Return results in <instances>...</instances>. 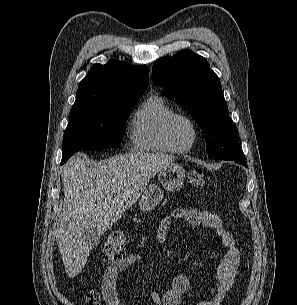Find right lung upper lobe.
I'll use <instances>...</instances> for the list:
<instances>
[{
  "mask_svg": "<svg viewBox=\"0 0 297 305\" xmlns=\"http://www.w3.org/2000/svg\"><path fill=\"white\" fill-rule=\"evenodd\" d=\"M149 84V68L110 60L95 64L80 82L72 107L107 104L127 98L142 97Z\"/></svg>",
  "mask_w": 297,
  "mask_h": 305,
  "instance_id": "1",
  "label": "right lung upper lobe"
}]
</instances>
